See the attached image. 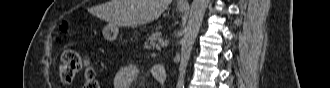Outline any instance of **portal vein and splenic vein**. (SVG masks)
I'll list each match as a JSON object with an SVG mask.
<instances>
[{
	"mask_svg": "<svg viewBox=\"0 0 330 88\" xmlns=\"http://www.w3.org/2000/svg\"><path fill=\"white\" fill-rule=\"evenodd\" d=\"M159 41H160L161 46H167L169 44L168 40H166V41L159 40Z\"/></svg>",
	"mask_w": 330,
	"mask_h": 88,
	"instance_id": "portal-vein-and-splenic-vein-1",
	"label": "portal vein and splenic vein"
}]
</instances>
